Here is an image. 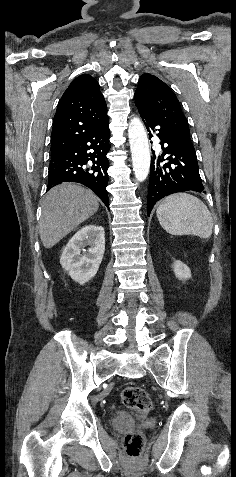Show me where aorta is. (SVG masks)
<instances>
[{"instance_id":"obj_1","label":"aorta","mask_w":236,"mask_h":477,"mask_svg":"<svg viewBox=\"0 0 236 477\" xmlns=\"http://www.w3.org/2000/svg\"><path fill=\"white\" fill-rule=\"evenodd\" d=\"M128 138L135 178L143 182L149 174L151 155L144 124L138 117L130 121Z\"/></svg>"}]
</instances>
